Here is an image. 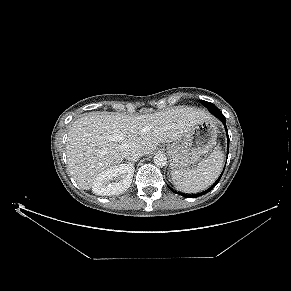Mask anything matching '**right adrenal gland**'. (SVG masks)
<instances>
[{
    "mask_svg": "<svg viewBox=\"0 0 291 291\" xmlns=\"http://www.w3.org/2000/svg\"><path fill=\"white\" fill-rule=\"evenodd\" d=\"M129 164L133 165V164H134V162H129Z\"/></svg>",
    "mask_w": 291,
    "mask_h": 291,
    "instance_id": "1",
    "label": "right adrenal gland"
}]
</instances>
